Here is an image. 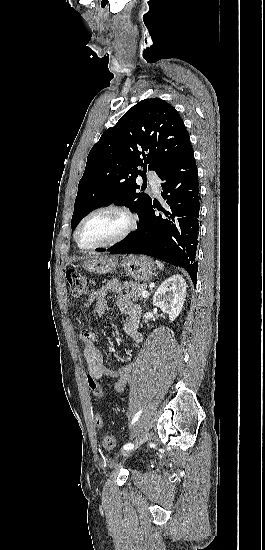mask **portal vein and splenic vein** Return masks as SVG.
<instances>
[{"label":"portal vein and splenic vein","instance_id":"1","mask_svg":"<svg viewBox=\"0 0 265 550\" xmlns=\"http://www.w3.org/2000/svg\"><path fill=\"white\" fill-rule=\"evenodd\" d=\"M141 296H142L143 298H147V297L149 296L148 291H143V292L141 293Z\"/></svg>","mask_w":265,"mask_h":550}]
</instances>
